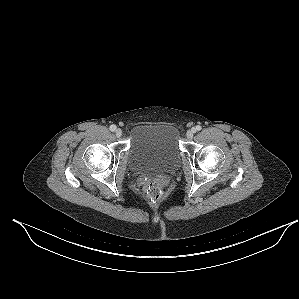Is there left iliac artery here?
Instances as JSON below:
<instances>
[{
    "label": "left iliac artery",
    "instance_id": "1",
    "mask_svg": "<svg viewBox=\"0 0 299 299\" xmlns=\"http://www.w3.org/2000/svg\"><path fill=\"white\" fill-rule=\"evenodd\" d=\"M195 131H200L202 127L200 125H197L195 128H193Z\"/></svg>",
    "mask_w": 299,
    "mask_h": 299
}]
</instances>
